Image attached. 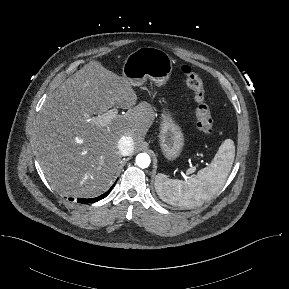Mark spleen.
<instances>
[{"label":"spleen","instance_id":"3e777b00","mask_svg":"<svg viewBox=\"0 0 289 289\" xmlns=\"http://www.w3.org/2000/svg\"><path fill=\"white\" fill-rule=\"evenodd\" d=\"M235 157L233 140L226 139L220 145L208 167L192 175L187 180L169 179L164 174H157L155 189L158 196L166 203L194 208L210 201L225 184Z\"/></svg>","mask_w":289,"mask_h":289}]
</instances>
